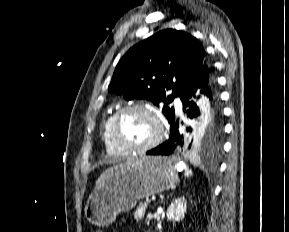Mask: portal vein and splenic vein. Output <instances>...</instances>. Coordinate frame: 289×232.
Wrapping results in <instances>:
<instances>
[{"label":"portal vein and splenic vein","mask_w":289,"mask_h":232,"mask_svg":"<svg viewBox=\"0 0 289 232\" xmlns=\"http://www.w3.org/2000/svg\"><path fill=\"white\" fill-rule=\"evenodd\" d=\"M155 199H146V203H151V201H153Z\"/></svg>","instance_id":"18ae733b"}]
</instances>
